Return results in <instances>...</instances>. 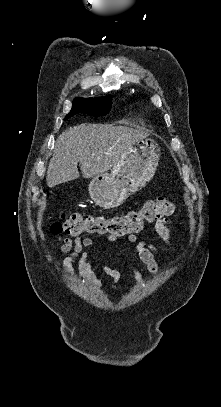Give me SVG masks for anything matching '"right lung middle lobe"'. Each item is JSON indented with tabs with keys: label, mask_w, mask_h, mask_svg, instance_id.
Returning a JSON list of instances; mask_svg holds the SVG:
<instances>
[{
	"label": "right lung middle lobe",
	"mask_w": 221,
	"mask_h": 407,
	"mask_svg": "<svg viewBox=\"0 0 221 407\" xmlns=\"http://www.w3.org/2000/svg\"><path fill=\"white\" fill-rule=\"evenodd\" d=\"M112 98L110 95L105 97L96 98H75L72 109L69 114L66 115L65 119L74 116L75 114L81 112L91 116H104L110 111Z\"/></svg>",
	"instance_id": "obj_1"
}]
</instances>
